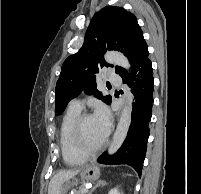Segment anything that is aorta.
Returning a JSON list of instances; mask_svg holds the SVG:
<instances>
[{"mask_svg":"<svg viewBox=\"0 0 201 194\" xmlns=\"http://www.w3.org/2000/svg\"><path fill=\"white\" fill-rule=\"evenodd\" d=\"M104 58L105 61L110 64L119 65L125 68L126 70L130 69L128 59L120 52L115 51L107 52ZM131 115H132V104H131V97L129 96L125 106L122 109L121 116L118 125L116 127V131L114 133L112 142L108 148L109 154H114L123 144L131 123Z\"/></svg>","mask_w":201,"mask_h":194,"instance_id":"obj_1","label":"aorta"}]
</instances>
